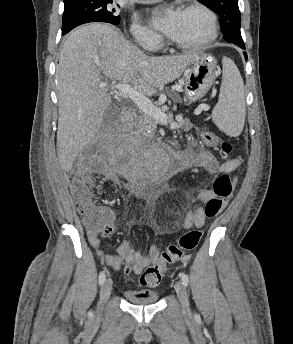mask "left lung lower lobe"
<instances>
[{"instance_id": "1", "label": "left lung lower lobe", "mask_w": 293, "mask_h": 344, "mask_svg": "<svg viewBox=\"0 0 293 344\" xmlns=\"http://www.w3.org/2000/svg\"><path fill=\"white\" fill-rule=\"evenodd\" d=\"M242 49H245V46L244 45H241L240 46ZM244 56L247 58V54L246 53H244Z\"/></svg>"}]
</instances>
